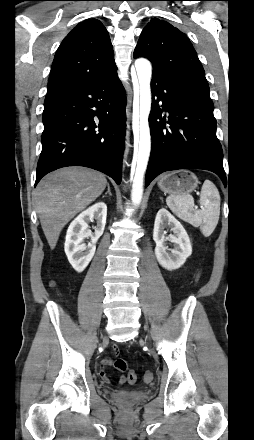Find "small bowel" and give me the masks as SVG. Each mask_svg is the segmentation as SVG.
I'll return each mask as SVG.
<instances>
[{
    "instance_id": "small-bowel-1",
    "label": "small bowel",
    "mask_w": 254,
    "mask_h": 440,
    "mask_svg": "<svg viewBox=\"0 0 254 440\" xmlns=\"http://www.w3.org/2000/svg\"><path fill=\"white\" fill-rule=\"evenodd\" d=\"M112 352H113V353H117V352H118V348H117L116 346H114V347L112 348ZM111 362H112V361H111L110 358H104V359H102V361H101L102 370L100 371L99 375H100L101 379H102L104 382H106V383H109V382H110V379L107 377V375H106V373H105V371H104V368L109 367V366L111 365Z\"/></svg>"
}]
</instances>
